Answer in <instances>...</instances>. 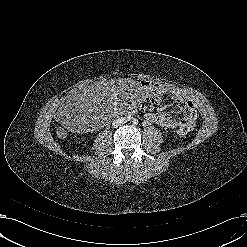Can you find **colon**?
I'll list each match as a JSON object with an SVG mask.
<instances>
[{
	"label": "colon",
	"instance_id": "5ec220e1",
	"mask_svg": "<svg viewBox=\"0 0 247 247\" xmlns=\"http://www.w3.org/2000/svg\"><path fill=\"white\" fill-rule=\"evenodd\" d=\"M146 90H147V96L149 99H159L163 96V91L161 90V87L159 85L147 83L145 84ZM189 130L185 127L179 128L177 130V135L179 137H184L187 135ZM56 134L59 138H65L68 135V132L64 126H58L56 128Z\"/></svg>",
	"mask_w": 247,
	"mask_h": 247
}]
</instances>
